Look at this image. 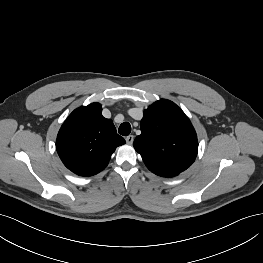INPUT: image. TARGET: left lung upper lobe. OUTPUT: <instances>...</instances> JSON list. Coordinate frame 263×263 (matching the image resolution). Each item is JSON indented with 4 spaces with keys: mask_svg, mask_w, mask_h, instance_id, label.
<instances>
[{
    "mask_svg": "<svg viewBox=\"0 0 263 263\" xmlns=\"http://www.w3.org/2000/svg\"><path fill=\"white\" fill-rule=\"evenodd\" d=\"M134 148L151 172L173 177L194 162L198 141L183 111L169 100H159L144 111Z\"/></svg>",
    "mask_w": 263,
    "mask_h": 263,
    "instance_id": "5c2ea615",
    "label": "left lung upper lobe"
}]
</instances>
